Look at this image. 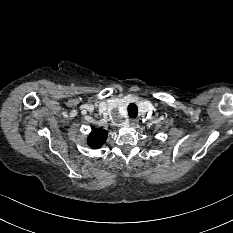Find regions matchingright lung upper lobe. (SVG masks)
<instances>
[{"mask_svg":"<svg viewBox=\"0 0 233 233\" xmlns=\"http://www.w3.org/2000/svg\"><path fill=\"white\" fill-rule=\"evenodd\" d=\"M106 138L107 131L101 129H94L88 137L87 142L91 148H99L105 143Z\"/></svg>","mask_w":233,"mask_h":233,"instance_id":"cb5924a9","label":"right lung upper lobe"}]
</instances>
